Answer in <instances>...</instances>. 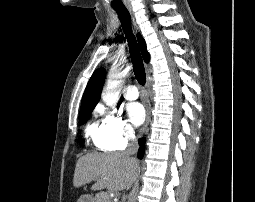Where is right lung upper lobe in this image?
Wrapping results in <instances>:
<instances>
[{"label":"right lung upper lobe","instance_id":"cb5924a9","mask_svg":"<svg viewBox=\"0 0 255 202\" xmlns=\"http://www.w3.org/2000/svg\"><path fill=\"white\" fill-rule=\"evenodd\" d=\"M138 43L145 62H148L150 55L146 49V43L141 35H137ZM105 80V70L99 68L92 74L82 97V108H94L100 99V94Z\"/></svg>","mask_w":255,"mask_h":202}]
</instances>
